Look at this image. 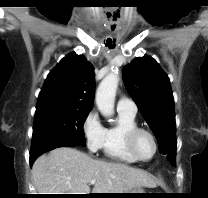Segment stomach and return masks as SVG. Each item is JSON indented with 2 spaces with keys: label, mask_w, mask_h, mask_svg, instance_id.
<instances>
[{
  "label": "stomach",
  "mask_w": 208,
  "mask_h": 198,
  "mask_svg": "<svg viewBox=\"0 0 208 198\" xmlns=\"http://www.w3.org/2000/svg\"><path fill=\"white\" fill-rule=\"evenodd\" d=\"M123 193L124 194L120 196L122 198H141L146 192L142 188L138 187Z\"/></svg>",
  "instance_id": "0dacf381"
}]
</instances>
